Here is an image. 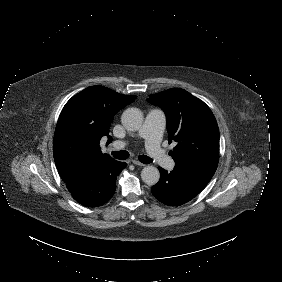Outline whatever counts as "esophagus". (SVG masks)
I'll return each mask as SVG.
<instances>
[{
	"label": "esophagus",
	"mask_w": 282,
	"mask_h": 282,
	"mask_svg": "<svg viewBox=\"0 0 282 282\" xmlns=\"http://www.w3.org/2000/svg\"><path fill=\"white\" fill-rule=\"evenodd\" d=\"M132 163H133L134 165H138V166H145L144 163H142V162H140V161H138V160H136V159H133V160H132Z\"/></svg>",
	"instance_id": "obj_1"
}]
</instances>
